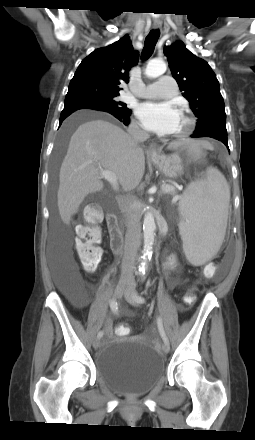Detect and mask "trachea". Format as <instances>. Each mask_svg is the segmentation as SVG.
Here are the masks:
<instances>
[{"mask_svg": "<svg viewBox=\"0 0 255 440\" xmlns=\"http://www.w3.org/2000/svg\"><path fill=\"white\" fill-rule=\"evenodd\" d=\"M159 35L160 32L158 29L150 31L147 35L142 51V60L148 59L153 54Z\"/></svg>", "mask_w": 255, "mask_h": 440, "instance_id": "3493384b", "label": "trachea"}]
</instances>
